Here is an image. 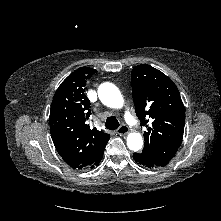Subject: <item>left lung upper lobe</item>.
<instances>
[{"label":"left lung upper lobe","mask_w":221,"mask_h":221,"mask_svg":"<svg viewBox=\"0 0 221 221\" xmlns=\"http://www.w3.org/2000/svg\"><path fill=\"white\" fill-rule=\"evenodd\" d=\"M133 100L144 133L142 154L158 166H165L176 154L183 138L185 108L174 82L147 64L131 73Z\"/></svg>","instance_id":"5c2ea615"}]
</instances>
